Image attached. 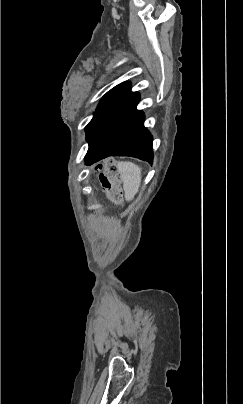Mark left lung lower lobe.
I'll use <instances>...</instances> for the list:
<instances>
[{
    "instance_id": "0a47b994",
    "label": "left lung lower lobe",
    "mask_w": 243,
    "mask_h": 404,
    "mask_svg": "<svg viewBox=\"0 0 243 404\" xmlns=\"http://www.w3.org/2000/svg\"><path fill=\"white\" fill-rule=\"evenodd\" d=\"M139 99L134 92L98 118L87 135V165L108 156H132L153 162V138L143 125V112L136 109Z\"/></svg>"
}]
</instances>
